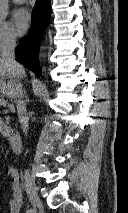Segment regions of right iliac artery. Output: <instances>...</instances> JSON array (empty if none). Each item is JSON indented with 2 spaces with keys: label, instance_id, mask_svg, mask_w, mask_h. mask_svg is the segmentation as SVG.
<instances>
[{
  "label": "right iliac artery",
  "instance_id": "1",
  "mask_svg": "<svg viewBox=\"0 0 128 213\" xmlns=\"http://www.w3.org/2000/svg\"><path fill=\"white\" fill-rule=\"evenodd\" d=\"M23 188L26 190V188H25V184H23ZM34 212V210H29V212L28 213H33Z\"/></svg>",
  "mask_w": 128,
  "mask_h": 213
}]
</instances>
